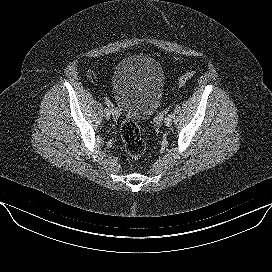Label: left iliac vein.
<instances>
[{
	"label": "left iliac vein",
	"instance_id": "1",
	"mask_svg": "<svg viewBox=\"0 0 272 272\" xmlns=\"http://www.w3.org/2000/svg\"><path fill=\"white\" fill-rule=\"evenodd\" d=\"M164 122L167 127H170L172 125V119H167V117L165 118Z\"/></svg>",
	"mask_w": 272,
	"mask_h": 272
}]
</instances>
